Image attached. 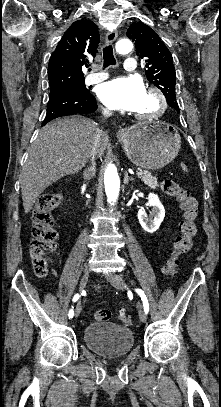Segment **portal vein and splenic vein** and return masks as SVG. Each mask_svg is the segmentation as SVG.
Masks as SVG:
<instances>
[{"mask_svg":"<svg viewBox=\"0 0 221 407\" xmlns=\"http://www.w3.org/2000/svg\"><path fill=\"white\" fill-rule=\"evenodd\" d=\"M137 176H140L142 173L141 172H136Z\"/></svg>","mask_w":221,"mask_h":407,"instance_id":"obj_1","label":"portal vein and splenic vein"}]
</instances>
